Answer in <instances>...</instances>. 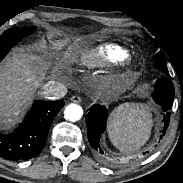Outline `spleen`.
I'll use <instances>...</instances> for the list:
<instances>
[{"label":"spleen","mask_w":183,"mask_h":183,"mask_svg":"<svg viewBox=\"0 0 183 183\" xmlns=\"http://www.w3.org/2000/svg\"><path fill=\"white\" fill-rule=\"evenodd\" d=\"M151 127L152 113L147 104L126 103L111 113L108 134L114 146L130 152L145 144Z\"/></svg>","instance_id":"1"}]
</instances>
